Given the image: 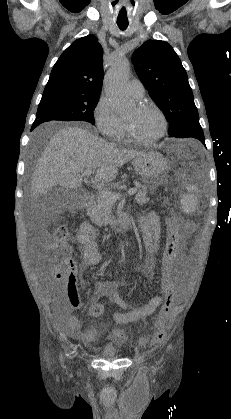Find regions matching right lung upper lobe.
I'll return each mask as SVG.
<instances>
[{
  "instance_id": "cb5924a9",
  "label": "right lung upper lobe",
  "mask_w": 231,
  "mask_h": 419,
  "mask_svg": "<svg viewBox=\"0 0 231 419\" xmlns=\"http://www.w3.org/2000/svg\"><path fill=\"white\" fill-rule=\"evenodd\" d=\"M102 54L94 35L74 41L55 63L45 88L63 87L100 94L104 76Z\"/></svg>"
}]
</instances>
